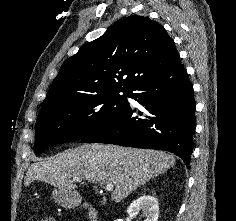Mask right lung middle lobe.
<instances>
[{
  "instance_id": "right-lung-middle-lobe-1",
  "label": "right lung middle lobe",
  "mask_w": 236,
  "mask_h": 221,
  "mask_svg": "<svg viewBox=\"0 0 236 221\" xmlns=\"http://www.w3.org/2000/svg\"><path fill=\"white\" fill-rule=\"evenodd\" d=\"M129 94V90L103 92L41 109L36 123V153L57 143L82 139L98 130L124 107Z\"/></svg>"
}]
</instances>
